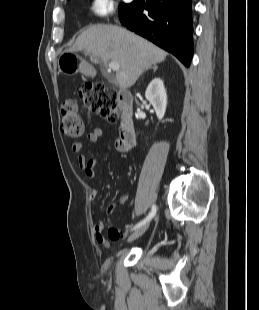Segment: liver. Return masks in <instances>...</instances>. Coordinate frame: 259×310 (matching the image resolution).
I'll list each match as a JSON object with an SVG mask.
<instances>
[{
	"label": "liver",
	"mask_w": 259,
	"mask_h": 310,
	"mask_svg": "<svg viewBox=\"0 0 259 310\" xmlns=\"http://www.w3.org/2000/svg\"><path fill=\"white\" fill-rule=\"evenodd\" d=\"M72 51L84 50L94 64L116 61V81L122 89L135 84L148 67L164 61L167 53L146 39L117 26L96 25L83 31Z\"/></svg>",
	"instance_id": "liver-1"
}]
</instances>
